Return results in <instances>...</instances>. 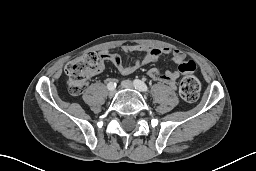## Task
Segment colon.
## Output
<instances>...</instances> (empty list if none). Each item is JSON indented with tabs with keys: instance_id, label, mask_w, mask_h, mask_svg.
Instances as JSON below:
<instances>
[{
	"instance_id": "5ec220e1",
	"label": "colon",
	"mask_w": 256,
	"mask_h": 171,
	"mask_svg": "<svg viewBox=\"0 0 256 171\" xmlns=\"http://www.w3.org/2000/svg\"><path fill=\"white\" fill-rule=\"evenodd\" d=\"M102 64L100 55L94 52L86 53L70 61L65 67L70 94H81L86 87L89 76L99 70ZM180 69L184 74L179 85L180 95L185 101L194 102L198 99L200 92V82L193 75L196 69L195 63L191 60L184 61Z\"/></svg>"
}]
</instances>
